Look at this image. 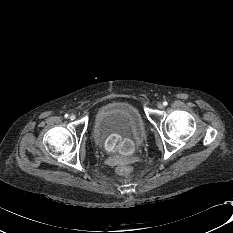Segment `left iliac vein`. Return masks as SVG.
<instances>
[{
	"label": "left iliac vein",
	"mask_w": 233,
	"mask_h": 233,
	"mask_svg": "<svg viewBox=\"0 0 233 233\" xmlns=\"http://www.w3.org/2000/svg\"><path fill=\"white\" fill-rule=\"evenodd\" d=\"M157 107H158L159 109H162V108L164 107V105H163V103H160V102H159V103L157 104Z\"/></svg>",
	"instance_id": "obj_1"
}]
</instances>
